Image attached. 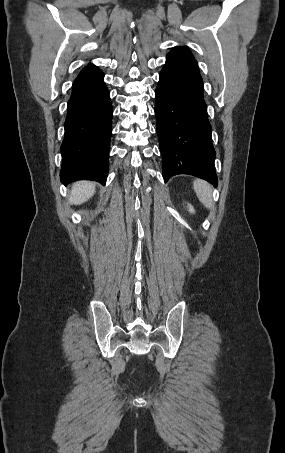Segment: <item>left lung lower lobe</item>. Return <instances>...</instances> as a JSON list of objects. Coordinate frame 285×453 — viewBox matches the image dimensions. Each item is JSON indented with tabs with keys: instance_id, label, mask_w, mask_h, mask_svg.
Returning a JSON list of instances; mask_svg holds the SVG:
<instances>
[{
	"instance_id": "obj_1",
	"label": "left lung lower lobe",
	"mask_w": 285,
	"mask_h": 453,
	"mask_svg": "<svg viewBox=\"0 0 285 453\" xmlns=\"http://www.w3.org/2000/svg\"><path fill=\"white\" fill-rule=\"evenodd\" d=\"M198 64L188 47L166 56L155 92L163 178L189 174L217 186L215 149Z\"/></svg>"
}]
</instances>
